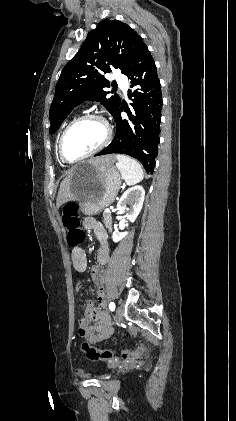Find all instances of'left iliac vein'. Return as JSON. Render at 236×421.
Returning a JSON list of instances; mask_svg holds the SVG:
<instances>
[{
  "mask_svg": "<svg viewBox=\"0 0 236 421\" xmlns=\"http://www.w3.org/2000/svg\"><path fill=\"white\" fill-rule=\"evenodd\" d=\"M116 320L117 323H120L123 320V308L122 306H118L116 309Z\"/></svg>",
  "mask_w": 236,
  "mask_h": 421,
  "instance_id": "left-iliac-vein-1",
  "label": "left iliac vein"
}]
</instances>
